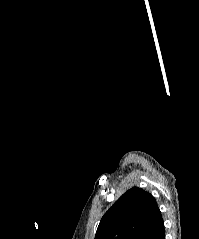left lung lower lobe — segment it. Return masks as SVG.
I'll return each mask as SVG.
<instances>
[{
  "instance_id": "obj_1",
  "label": "left lung lower lobe",
  "mask_w": 199,
  "mask_h": 239,
  "mask_svg": "<svg viewBox=\"0 0 199 239\" xmlns=\"http://www.w3.org/2000/svg\"><path fill=\"white\" fill-rule=\"evenodd\" d=\"M151 239H165V229L163 219L160 221Z\"/></svg>"
}]
</instances>
